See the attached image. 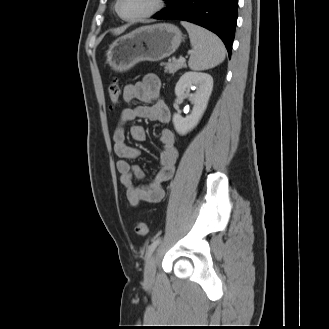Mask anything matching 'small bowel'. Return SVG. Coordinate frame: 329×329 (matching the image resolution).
Here are the masks:
<instances>
[{
	"mask_svg": "<svg viewBox=\"0 0 329 329\" xmlns=\"http://www.w3.org/2000/svg\"><path fill=\"white\" fill-rule=\"evenodd\" d=\"M123 100L125 102L140 101L142 104L134 108H126L119 114L113 130L114 152L120 158L116 168L120 174L122 185L126 189L127 199L131 206L140 202H159L164 197L163 185L172 178L178 158L174 133L170 129H162L159 134L161 153L159 158L160 169L155 178L147 185H138L136 181L144 177L141 168L130 160L139 156L137 148L125 142V126L136 118L167 124L171 119L170 110L161 98V82L155 75H147L142 81L124 87ZM129 135L136 142L146 140L145 128L141 125H132Z\"/></svg>",
	"mask_w": 329,
	"mask_h": 329,
	"instance_id": "small-bowel-1",
	"label": "small bowel"
}]
</instances>
